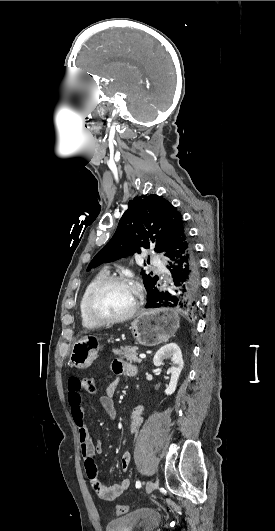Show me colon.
<instances>
[{"mask_svg": "<svg viewBox=\"0 0 275 531\" xmlns=\"http://www.w3.org/2000/svg\"><path fill=\"white\" fill-rule=\"evenodd\" d=\"M82 392H86L90 395H95L98 390V383L93 377H85V381L81 383ZM127 511V507L124 505H119L116 509V514L122 516Z\"/></svg>", "mask_w": 275, "mask_h": 531, "instance_id": "5ec220e1", "label": "colon"}]
</instances>
